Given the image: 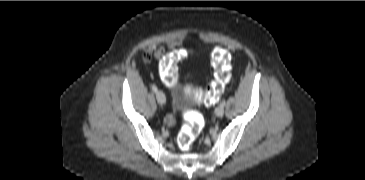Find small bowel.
Segmentation results:
<instances>
[{
  "instance_id": "1",
  "label": "small bowel",
  "mask_w": 365,
  "mask_h": 180,
  "mask_svg": "<svg viewBox=\"0 0 365 180\" xmlns=\"http://www.w3.org/2000/svg\"><path fill=\"white\" fill-rule=\"evenodd\" d=\"M179 43L178 42H172L169 47L173 48L175 46H177ZM164 53V48H158L155 50V55L156 56H161Z\"/></svg>"
}]
</instances>
